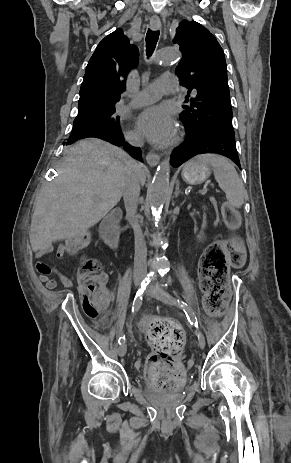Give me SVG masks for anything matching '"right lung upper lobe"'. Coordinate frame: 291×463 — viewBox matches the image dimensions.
Wrapping results in <instances>:
<instances>
[{
    "label": "right lung upper lobe",
    "mask_w": 291,
    "mask_h": 463,
    "mask_svg": "<svg viewBox=\"0 0 291 463\" xmlns=\"http://www.w3.org/2000/svg\"><path fill=\"white\" fill-rule=\"evenodd\" d=\"M138 57V48L129 43L121 28L106 36L86 67L77 117L115 107L126 88L127 74L138 65Z\"/></svg>",
    "instance_id": "obj_1"
}]
</instances>
